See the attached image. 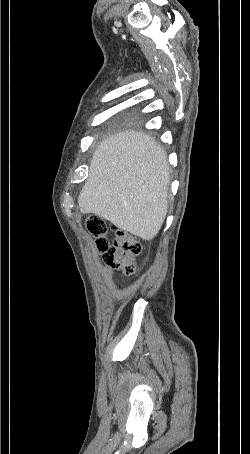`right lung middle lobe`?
<instances>
[{"instance_id": "obj_1", "label": "right lung middle lobe", "mask_w": 250, "mask_h": 454, "mask_svg": "<svg viewBox=\"0 0 250 454\" xmlns=\"http://www.w3.org/2000/svg\"><path fill=\"white\" fill-rule=\"evenodd\" d=\"M134 114H135V113H132V114H130V116H129V117H132V116H133Z\"/></svg>"}]
</instances>
